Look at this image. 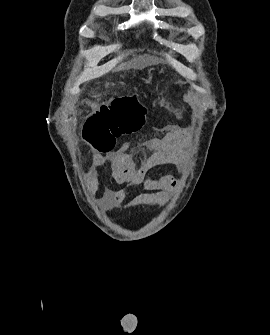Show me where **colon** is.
I'll use <instances>...</instances> for the list:
<instances>
[{"label":"colon","instance_id":"5ec220e1","mask_svg":"<svg viewBox=\"0 0 270 335\" xmlns=\"http://www.w3.org/2000/svg\"><path fill=\"white\" fill-rule=\"evenodd\" d=\"M110 107L109 110H96L95 116H89L84 125V138L102 154L109 153L114 147V142L108 141L102 134L120 137L137 133L149 114L136 95L111 101Z\"/></svg>","mask_w":270,"mask_h":335}]
</instances>
